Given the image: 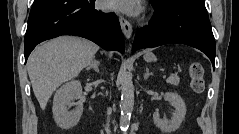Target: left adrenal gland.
Wrapping results in <instances>:
<instances>
[{
    "label": "left adrenal gland",
    "mask_w": 239,
    "mask_h": 134,
    "mask_svg": "<svg viewBox=\"0 0 239 134\" xmlns=\"http://www.w3.org/2000/svg\"><path fill=\"white\" fill-rule=\"evenodd\" d=\"M151 75H152V73H150V72H149V69L146 68V72H145V74H144V80H147L148 77L151 76Z\"/></svg>",
    "instance_id": "a2214340"
}]
</instances>
